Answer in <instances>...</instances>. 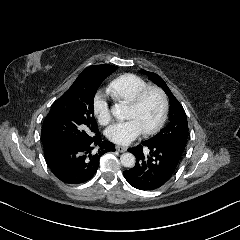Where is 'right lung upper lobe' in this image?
Masks as SVG:
<instances>
[{"label":"right lung upper lobe","instance_id":"cb5924a9","mask_svg":"<svg viewBox=\"0 0 240 240\" xmlns=\"http://www.w3.org/2000/svg\"><path fill=\"white\" fill-rule=\"evenodd\" d=\"M115 68H118V67L113 65H94V66L87 67L84 70H113Z\"/></svg>","mask_w":240,"mask_h":240}]
</instances>
